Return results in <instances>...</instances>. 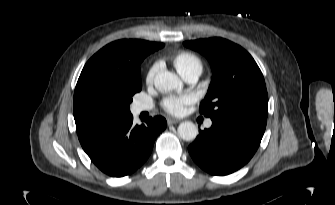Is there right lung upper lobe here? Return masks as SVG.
<instances>
[{"mask_svg":"<svg viewBox=\"0 0 335 205\" xmlns=\"http://www.w3.org/2000/svg\"><path fill=\"white\" fill-rule=\"evenodd\" d=\"M162 47L164 44L157 42L118 40L88 60L74 92L73 114L78 134L125 116L115 109L99 111L95 103L103 97L120 94L134 78L138 64Z\"/></svg>","mask_w":335,"mask_h":205,"instance_id":"1","label":"right lung upper lobe"}]
</instances>
